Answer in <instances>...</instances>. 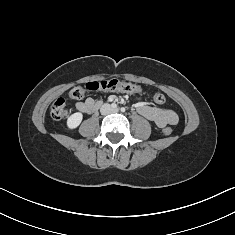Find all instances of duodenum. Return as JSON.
<instances>
[{
	"label": "duodenum",
	"instance_id": "1",
	"mask_svg": "<svg viewBox=\"0 0 235 235\" xmlns=\"http://www.w3.org/2000/svg\"><path fill=\"white\" fill-rule=\"evenodd\" d=\"M99 106H100V105L95 104L94 106H92V107L90 108V110H89L88 113H93L94 111H96V110L99 108Z\"/></svg>",
	"mask_w": 235,
	"mask_h": 235
}]
</instances>
